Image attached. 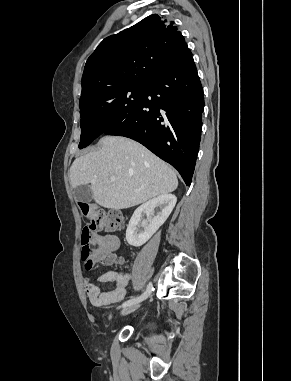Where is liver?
<instances>
[{
    "instance_id": "6515ba94",
    "label": "liver",
    "mask_w": 291,
    "mask_h": 381,
    "mask_svg": "<svg viewBox=\"0 0 291 381\" xmlns=\"http://www.w3.org/2000/svg\"><path fill=\"white\" fill-rule=\"evenodd\" d=\"M100 144L98 151L76 158L70 168L72 188L90 184L100 206L126 209L177 188L174 170L140 143L109 136Z\"/></svg>"
}]
</instances>
